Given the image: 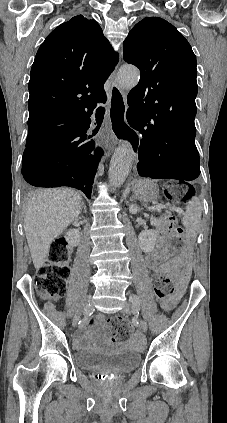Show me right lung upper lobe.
Here are the masks:
<instances>
[{"instance_id":"right-lung-upper-lobe-1","label":"right lung upper lobe","mask_w":227,"mask_h":423,"mask_svg":"<svg viewBox=\"0 0 227 423\" xmlns=\"http://www.w3.org/2000/svg\"><path fill=\"white\" fill-rule=\"evenodd\" d=\"M118 60L96 21L73 17L54 29L38 49L30 74L29 110L105 103L103 86ZM71 124L72 119L61 116L28 120L26 147L52 138Z\"/></svg>"}]
</instances>
